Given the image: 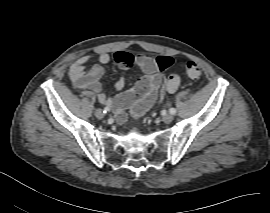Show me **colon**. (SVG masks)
<instances>
[{"label": "colon", "mask_w": 270, "mask_h": 213, "mask_svg": "<svg viewBox=\"0 0 270 213\" xmlns=\"http://www.w3.org/2000/svg\"><path fill=\"white\" fill-rule=\"evenodd\" d=\"M115 56L119 59H125L128 63H132V58L124 52H118L115 54ZM163 63L166 65L168 64L167 59L162 60ZM184 69L186 71V74L192 78V79H199L202 75L201 68L199 67L198 64H196L193 61H187L184 63ZM180 84V77L177 74H172L171 76L168 77L165 87L162 91V94H164V90L168 91H175ZM140 99V94L137 90H133L125 95V100L129 103H138Z\"/></svg>", "instance_id": "colon-1"}]
</instances>
